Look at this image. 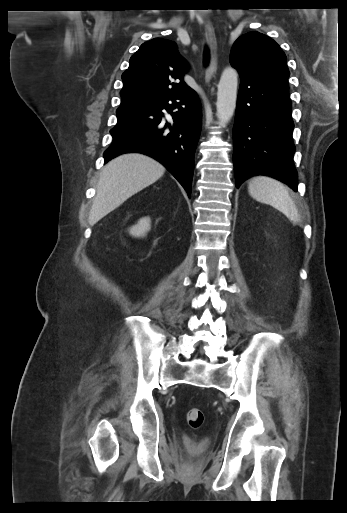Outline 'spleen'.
Instances as JSON below:
<instances>
[{"label": "spleen", "instance_id": "3e777b00", "mask_svg": "<svg viewBox=\"0 0 347 513\" xmlns=\"http://www.w3.org/2000/svg\"><path fill=\"white\" fill-rule=\"evenodd\" d=\"M248 192L255 200L270 204L289 219L298 222V209L281 182L268 176H256L248 183Z\"/></svg>", "mask_w": 347, "mask_h": 513}]
</instances>
